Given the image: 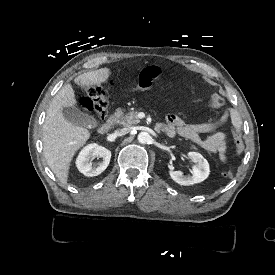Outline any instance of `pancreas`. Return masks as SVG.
Wrapping results in <instances>:
<instances>
[{
  "label": "pancreas",
  "mask_w": 275,
  "mask_h": 275,
  "mask_svg": "<svg viewBox=\"0 0 275 275\" xmlns=\"http://www.w3.org/2000/svg\"><path fill=\"white\" fill-rule=\"evenodd\" d=\"M138 111H130L128 113H124V110L121 108H117L114 117L116 118L117 123L129 127L140 122L138 118Z\"/></svg>",
  "instance_id": "obj_1"
}]
</instances>
